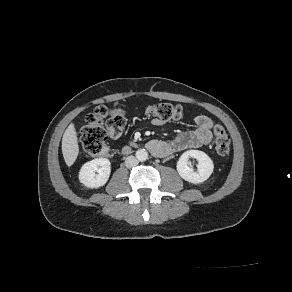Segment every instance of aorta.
<instances>
[{
  "label": "aorta",
  "instance_id": "762f6f07",
  "mask_svg": "<svg viewBox=\"0 0 292 292\" xmlns=\"http://www.w3.org/2000/svg\"><path fill=\"white\" fill-rule=\"evenodd\" d=\"M136 158L140 162L146 161L148 159V152L145 149H139L136 151Z\"/></svg>",
  "mask_w": 292,
  "mask_h": 292
}]
</instances>
